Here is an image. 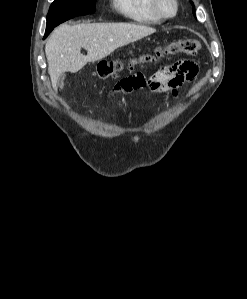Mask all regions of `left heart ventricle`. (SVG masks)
Masks as SVG:
<instances>
[{"mask_svg": "<svg viewBox=\"0 0 247 299\" xmlns=\"http://www.w3.org/2000/svg\"><path fill=\"white\" fill-rule=\"evenodd\" d=\"M162 9L165 13L170 14L173 12V5L168 1H164L162 3Z\"/></svg>", "mask_w": 247, "mask_h": 299, "instance_id": "b2bd125f", "label": "left heart ventricle"}]
</instances>
